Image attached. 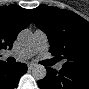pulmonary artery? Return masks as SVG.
Returning <instances> with one entry per match:
<instances>
[{
	"label": "pulmonary artery",
	"instance_id": "pulmonary-artery-1",
	"mask_svg": "<svg viewBox=\"0 0 89 89\" xmlns=\"http://www.w3.org/2000/svg\"><path fill=\"white\" fill-rule=\"evenodd\" d=\"M47 48H48V44H47L46 35L41 31H36L34 34V44L31 51L42 52V51H46ZM61 67H62L61 63L57 65V69H61Z\"/></svg>",
	"mask_w": 89,
	"mask_h": 89
}]
</instances>
